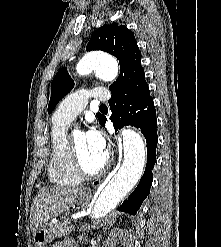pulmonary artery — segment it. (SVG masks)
<instances>
[{"label":"pulmonary artery","instance_id":"pulmonary-artery-1","mask_svg":"<svg viewBox=\"0 0 221 247\" xmlns=\"http://www.w3.org/2000/svg\"><path fill=\"white\" fill-rule=\"evenodd\" d=\"M110 93L107 90L81 89L68 95L57 108L54 119L57 121L68 123L74 120L86 107L88 100H108Z\"/></svg>","mask_w":221,"mask_h":247}]
</instances>
